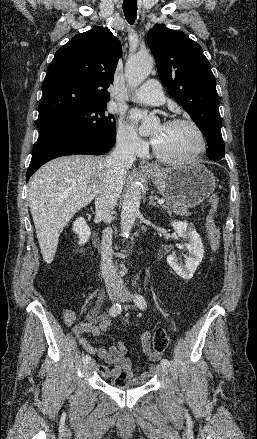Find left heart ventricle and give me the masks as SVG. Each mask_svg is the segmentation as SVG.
Here are the masks:
<instances>
[{
  "label": "left heart ventricle",
  "instance_id": "left-heart-ventricle-1",
  "mask_svg": "<svg viewBox=\"0 0 257 439\" xmlns=\"http://www.w3.org/2000/svg\"><path fill=\"white\" fill-rule=\"evenodd\" d=\"M152 134L158 148L169 156H187L199 147L197 134L189 125H157Z\"/></svg>",
  "mask_w": 257,
  "mask_h": 439
}]
</instances>
